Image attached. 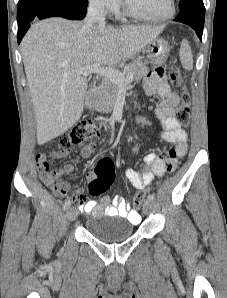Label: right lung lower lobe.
<instances>
[{
    "label": "right lung lower lobe",
    "instance_id": "right-lung-lower-lobe-1",
    "mask_svg": "<svg viewBox=\"0 0 227 298\" xmlns=\"http://www.w3.org/2000/svg\"><path fill=\"white\" fill-rule=\"evenodd\" d=\"M87 6L67 0H43L17 13L18 43L34 20L48 17H64L71 20H82Z\"/></svg>",
    "mask_w": 227,
    "mask_h": 298
}]
</instances>
